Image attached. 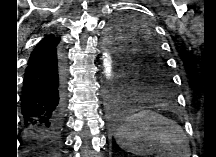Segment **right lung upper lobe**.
I'll return each instance as SVG.
<instances>
[{
    "label": "right lung upper lobe",
    "instance_id": "1",
    "mask_svg": "<svg viewBox=\"0 0 216 157\" xmlns=\"http://www.w3.org/2000/svg\"><path fill=\"white\" fill-rule=\"evenodd\" d=\"M59 41L60 40L58 37H54L53 35L47 36L35 47L28 62H31L51 51L56 50L55 47L58 45Z\"/></svg>",
    "mask_w": 216,
    "mask_h": 157
}]
</instances>
